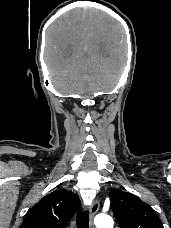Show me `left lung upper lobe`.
I'll list each match as a JSON object with an SVG mask.
<instances>
[{"label":"left lung upper lobe","instance_id":"obj_1","mask_svg":"<svg viewBox=\"0 0 171 228\" xmlns=\"http://www.w3.org/2000/svg\"><path fill=\"white\" fill-rule=\"evenodd\" d=\"M109 197L121 228H164L155 211L137 196L112 189Z\"/></svg>","mask_w":171,"mask_h":228}]
</instances>
